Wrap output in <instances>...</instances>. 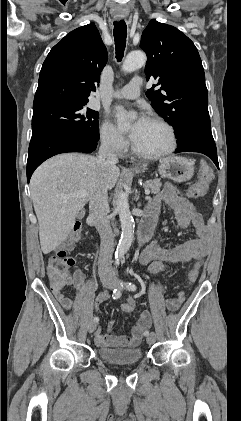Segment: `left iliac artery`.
<instances>
[{
	"mask_svg": "<svg viewBox=\"0 0 241 421\" xmlns=\"http://www.w3.org/2000/svg\"><path fill=\"white\" fill-rule=\"evenodd\" d=\"M125 287L126 289H128L129 291H135L136 290V285L131 283V282H125ZM145 336L149 335V331H145L144 332Z\"/></svg>",
	"mask_w": 241,
	"mask_h": 421,
	"instance_id": "1",
	"label": "left iliac artery"
}]
</instances>
